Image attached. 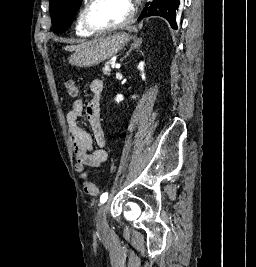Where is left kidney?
Listing matches in <instances>:
<instances>
[{
    "instance_id": "5707ae66",
    "label": "left kidney",
    "mask_w": 256,
    "mask_h": 267,
    "mask_svg": "<svg viewBox=\"0 0 256 267\" xmlns=\"http://www.w3.org/2000/svg\"><path fill=\"white\" fill-rule=\"evenodd\" d=\"M144 66H145V62H140V64H138V70H140V72H141L142 80H145ZM133 98H135V96H133ZM115 100H116V102H122V100H124V96H122V94H118V96H116Z\"/></svg>"
}]
</instances>
